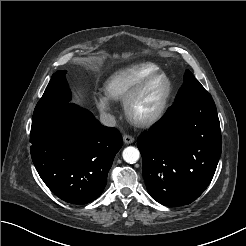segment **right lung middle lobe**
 Returning <instances> with one entry per match:
<instances>
[{"label":"right lung middle lobe","mask_w":246,"mask_h":246,"mask_svg":"<svg viewBox=\"0 0 246 246\" xmlns=\"http://www.w3.org/2000/svg\"><path fill=\"white\" fill-rule=\"evenodd\" d=\"M65 74V70L57 71L53 74L42 98L35 107L33 115L44 112H54L69 103L71 100V92Z\"/></svg>","instance_id":"obj_1"}]
</instances>
